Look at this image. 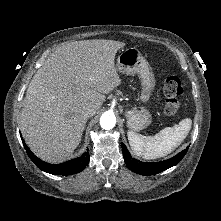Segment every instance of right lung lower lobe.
Here are the masks:
<instances>
[{"label":"right lung lower lobe","mask_w":221,"mask_h":221,"mask_svg":"<svg viewBox=\"0 0 221 221\" xmlns=\"http://www.w3.org/2000/svg\"><path fill=\"white\" fill-rule=\"evenodd\" d=\"M23 145L25 147L27 154L29 155L30 159L34 162V164L39 169L47 173L53 174V175L67 176V175H72V174L81 172L82 170L86 168L90 160L89 153L85 152L84 154H82L81 157L72 159L65 163L49 164V163L42 161L38 157H36L24 142H23ZM87 151L89 150L87 149Z\"/></svg>","instance_id":"98d812e1"}]
</instances>
